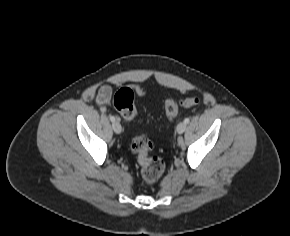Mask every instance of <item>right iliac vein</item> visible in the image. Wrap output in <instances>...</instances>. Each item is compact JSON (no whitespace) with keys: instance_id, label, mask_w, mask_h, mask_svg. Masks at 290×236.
<instances>
[{"instance_id":"right-iliac-vein-1","label":"right iliac vein","mask_w":290,"mask_h":236,"mask_svg":"<svg viewBox=\"0 0 290 236\" xmlns=\"http://www.w3.org/2000/svg\"><path fill=\"white\" fill-rule=\"evenodd\" d=\"M112 127L115 133L120 134L122 132L121 124L118 121H114Z\"/></svg>"}]
</instances>
